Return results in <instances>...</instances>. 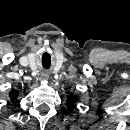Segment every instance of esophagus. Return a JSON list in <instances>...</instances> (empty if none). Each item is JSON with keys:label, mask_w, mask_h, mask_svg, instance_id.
<instances>
[{"label": "esophagus", "mask_w": 130, "mask_h": 130, "mask_svg": "<svg viewBox=\"0 0 130 130\" xmlns=\"http://www.w3.org/2000/svg\"><path fill=\"white\" fill-rule=\"evenodd\" d=\"M42 78L45 79V80H47V79L49 78V74L46 73V72H44V73L42 74Z\"/></svg>", "instance_id": "34e87169"}]
</instances>
